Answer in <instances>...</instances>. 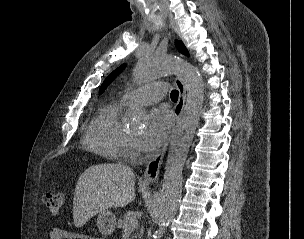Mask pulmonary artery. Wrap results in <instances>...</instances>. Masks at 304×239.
<instances>
[{"label": "pulmonary artery", "mask_w": 304, "mask_h": 239, "mask_svg": "<svg viewBox=\"0 0 304 239\" xmlns=\"http://www.w3.org/2000/svg\"><path fill=\"white\" fill-rule=\"evenodd\" d=\"M166 93L164 84H148L132 92L125 93L121 101L126 105L145 106L159 102Z\"/></svg>", "instance_id": "e3ab8cb5"}]
</instances>
